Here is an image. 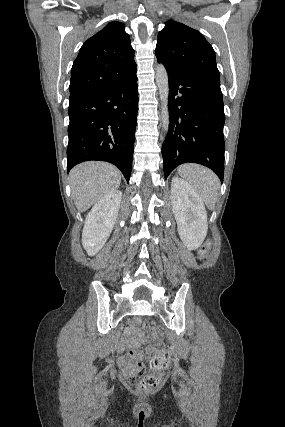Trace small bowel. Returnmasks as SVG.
Wrapping results in <instances>:
<instances>
[{
	"mask_svg": "<svg viewBox=\"0 0 285 427\" xmlns=\"http://www.w3.org/2000/svg\"><path fill=\"white\" fill-rule=\"evenodd\" d=\"M124 346H125V343H124V340H123L122 348H124ZM120 363L125 367L126 372L128 374H132V371H133L132 370V362L127 357H122L120 359Z\"/></svg>",
	"mask_w": 285,
	"mask_h": 427,
	"instance_id": "1",
	"label": "small bowel"
}]
</instances>
